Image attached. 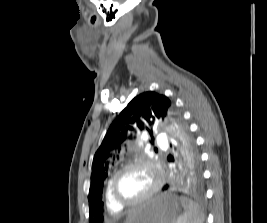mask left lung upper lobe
Instances as JSON below:
<instances>
[{"label": "left lung upper lobe", "mask_w": 267, "mask_h": 223, "mask_svg": "<svg viewBox=\"0 0 267 223\" xmlns=\"http://www.w3.org/2000/svg\"><path fill=\"white\" fill-rule=\"evenodd\" d=\"M162 121L169 127L183 150L186 171H202L200 156L194 139L181 115L175 110L174 103L165 95L153 91L136 96L117 116L109 127L92 163L91 186L87 204L89 214H106L107 206H102L103 182L107 177L110 163L122 150L127 139H133L132 133L149 129L154 123ZM99 223V221L97 222Z\"/></svg>", "instance_id": "5c2ea615"}]
</instances>
